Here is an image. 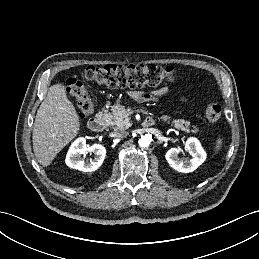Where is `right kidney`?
<instances>
[{
	"mask_svg": "<svg viewBox=\"0 0 259 259\" xmlns=\"http://www.w3.org/2000/svg\"><path fill=\"white\" fill-rule=\"evenodd\" d=\"M87 152L95 155L94 159H90L89 162H85L81 158V155H85ZM106 156V149L101 144H93L90 147L86 145V139L80 137L76 139L70 146L66 155V164L70 168H74L83 172H92L97 170L103 163Z\"/></svg>",
	"mask_w": 259,
	"mask_h": 259,
	"instance_id": "obj_1",
	"label": "right kidney"
}]
</instances>
